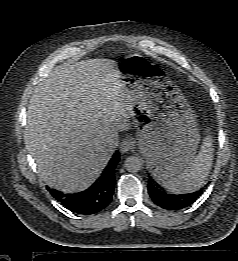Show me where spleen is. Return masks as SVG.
Instances as JSON below:
<instances>
[{
  "instance_id": "obj_1",
  "label": "spleen",
  "mask_w": 238,
  "mask_h": 261,
  "mask_svg": "<svg viewBox=\"0 0 238 261\" xmlns=\"http://www.w3.org/2000/svg\"><path fill=\"white\" fill-rule=\"evenodd\" d=\"M213 140L207 135L201 145V150L189 165L175 177L168 179L162 185L173 193H191L203 186L210 173L213 160Z\"/></svg>"
}]
</instances>
